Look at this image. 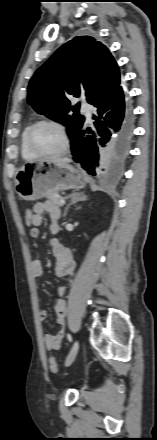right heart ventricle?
<instances>
[{
  "label": "right heart ventricle",
  "instance_id": "obj_1",
  "mask_svg": "<svg viewBox=\"0 0 157 440\" xmlns=\"http://www.w3.org/2000/svg\"><path fill=\"white\" fill-rule=\"evenodd\" d=\"M32 124H28L22 134H21V139H20V147H21V154L23 156L24 159L27 160H31V159H35L37 157L36 154H34L28 147L27 145V133L30 129Z\"/></svg>",
  "mask_w": 157,
  "mask_h": 440
}]
</instances>
